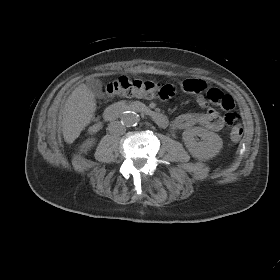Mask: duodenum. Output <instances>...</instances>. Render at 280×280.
Masks as SVG:
<instances>
[{"mask_svg": "<svg viewBox=\"0 0 280 280\" xmlns=\"http://www.w3.org/2000/svg\"><path fill=\"white\" fill-rule=\"evenodd\" d=\"M126 111H136L143 113L150 117L158 126L166 127L169 123L168 118L153 109L148 108L147 106L143 105L142 103H118L109 106L104 111V119L106 121H114L117 119L121 114L125 113Z\"/></svg>", "mask_w": 280, "mask_h": 280, "instance_id": "410a0bca", "label": "duodenum"}]
</instances>
